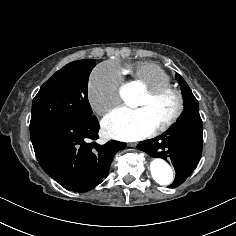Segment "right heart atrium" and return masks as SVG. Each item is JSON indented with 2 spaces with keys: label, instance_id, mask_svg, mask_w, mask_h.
<instances>
[{
  "label": "right heart atrium",
  "instance_id": "obj_1",
  "mask_svg": "<svg viewBox=\"0 0 236 236\" xmlns=\"http://www.w3.org/2000/svg\"><path fill=\"white\" fill-rule=\"evenodd\" d=\"M121 83L119 71L109 64H101L91 72L88 99L95 114L104 115L118 103Z\"/></svg>",
  "mask_w": 236,
  "mask_h": 236
}]
</instances>
